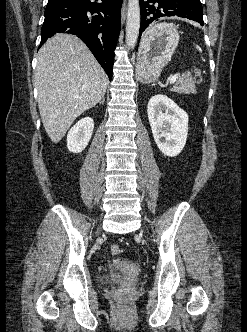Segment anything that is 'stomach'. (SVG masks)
I'll use <instances>...</instances> for the list:
<instances>
[{"mask_svg": "<svg viewBox=\"0 0 247 332\" xmlns=\"http://www.w3.org/2000/svg\"><path fill=\"white\" fill-rule=\"evenodd\" d=\"M177 27L170 23H158L143 35L138 51L137 74L142 82L156 80L170 62L179 43Z\"/></svg>", "mask_w": 247, "mask_h": 332, "instance_id": "0dacf381", "label": "stomach"}]
</instances>
